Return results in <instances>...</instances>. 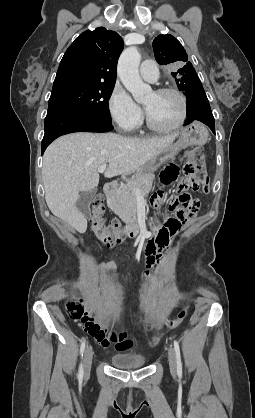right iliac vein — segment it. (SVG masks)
Wrapping results in <instances>:
<instances>
[{"label":"right iliac vein","instance_id":"1","mask_svg":"<svg viewBox=\"0 0 255 418\" xmlns=\"http://www.w3.org/2000/svg\"><path fill=\"white\" fill-rule=\"evenodd\" d=\"M93 357L92 347L88 346L84 353V374L87 376L90 372Z\"/></svg>","mask_w":255,"mask_h":418}]
</instances>
